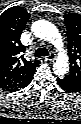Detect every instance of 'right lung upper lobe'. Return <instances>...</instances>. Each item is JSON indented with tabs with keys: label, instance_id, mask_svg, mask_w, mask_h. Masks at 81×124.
<instances>
[{
	"label": "right lung upper lobe",
	"instance_id": "obj_1",
	"mask_svg": "<svg viewBox=\"0 0 81 124\" xmlns=\"http://www.w3.org/2000/svg\"><path fill=\"white\" fill-rule=\"evenodd\" d=\"M30 17L22 7L14 6L0 16V88L12 91L23 85L34 73L39 61H28L22 53L21 33Z\"/></svg>",
	"mask_w": 81,
	"mask_h": 124
}]
</instances>
